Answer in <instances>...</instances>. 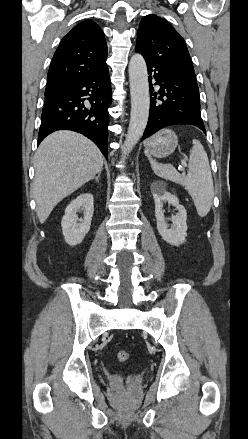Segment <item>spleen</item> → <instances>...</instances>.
<instances>
[{"label":"spleen","mask_w":248,"mask_h":439,"mask_svg":"<svg viewBox=\"0 0 248 439\" xmlns=\"http://www.w3.org/2000/svg\"><path fill=\"white\" fill-rule=\"evenodd\" d=\"M188 161L187 175H181L171 164H160L154 161L145 149L151 167L156 175L166 180L183 185L192 197L197 213L205 217L210 209L214 197V185L209 160L200 141L193 139Z\"/></svg>","instance_id":"1"}]
</instances>
